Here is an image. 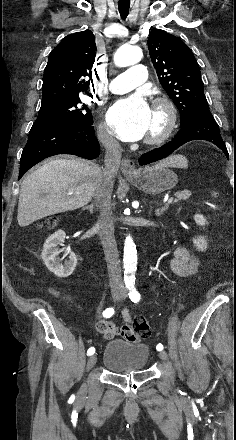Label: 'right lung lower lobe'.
Returning a JSON list of instances; mask_svg holds the SVG:
<instances>
[{
  "label": "right lung lower lobe",
  "instance_id": "98d812e1",
  "mask_svg": "<svg viewBox=\"0 0 236 440\" xmlns=\"http://www.w3.org/2000/svg\"><path fill=\"white\" fill-rule=\"evenodd\" d=\"M99 153L92 125L39 119L33 123L23 149L18 179L35 164L53 155L72 154L95 159Z\"/></svg>",
  "mask_w": 236,
  "mask_h": 440
}]
</instances>
